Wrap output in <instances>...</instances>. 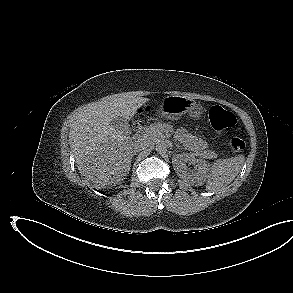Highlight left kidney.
I'll use <instances>...</instances> for the list:
<instances>
[{
    "label": "left kidney",
    "mask_w": 293,
    "mask_h": 293,
    "mask_svg": "<svg viewBox=\"0 0 293 293\" xmlns=\"http://www.w3.org/2000/svg\"><path fill=\"white\" fill-rule=\"evenodd\" d=\"M191 163L195 166V172L186 170L185 163ZM174 170L180 178L191 184H201L208 171V164L202 159H196L193 154H177L172 158Z\"/></svg>",
    "instance_id": "left-kidney-1"
}]
</instances>
